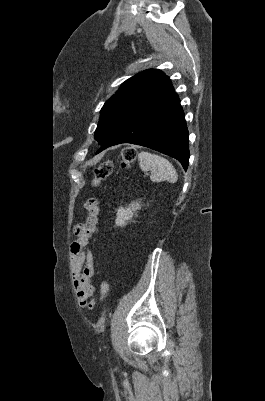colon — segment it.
Listing matches in <instances>:
<instances>
[{
    "label": "colon",
    "instance_id": "obj_1",
    "mask_svg": "<svg viewBox=\"0 0 265 401\" xmlns=\"http://www.w3.org/2000/svg\"><path fill=\"white\" fill-rule=\"evenodd\" d=\"M136 158V150L134 148H125L121 153V164L123 167H130ZM113 164L111 161H105L99 164L93 173L92 185L99 186L112 172ZM101 292L104 298L109 294V285L106 280H102L100 284Z\"/></svg>",
    "mask_w": 265,
    "mask_h": 401
}]
</instances>
